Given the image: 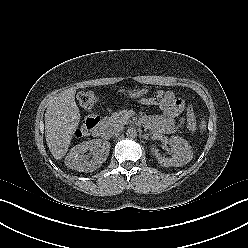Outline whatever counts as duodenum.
<instances>
[{"label": "duodenum", "instance_id": "1", "mask_svg": "<svg viewBox=\"0 0 248 248\" xmlns=\"http://www.w3.org/2000/svg\"><path fill=\"white\" fill-rule=\"evenodd\" d=\"M106 132V124L102 120H98L97 124L94 126L93 135L95 137H104Z\"/></svg>", "mask_w": 248, "mask_h": 248}]
</instances>
